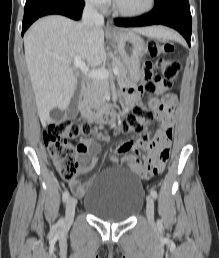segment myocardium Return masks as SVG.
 Segmentation results:
<instances>
[{
  "label": "myocardium",
  "instance_id": "obj_1",
  "mask_svg": "<svg viewBox=\"0 0 219 258\" xmlns=\"http://www.w3.org/2000/svg\"><path fill=\"white\" fill-rule=\"evenodd\" d=\"M156 0H149L147 7L138 11H127L119 7L116 0H113V10L115 13L124 17H138L149 13L155 6Z\"/></svg>",
  "mask_w": 219,
  "mask_h": 258
}]
</instances>
